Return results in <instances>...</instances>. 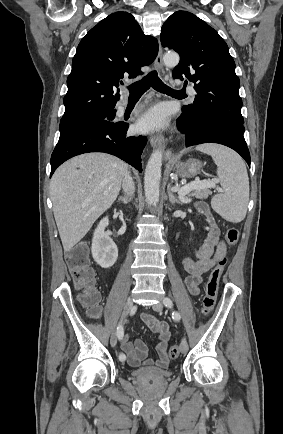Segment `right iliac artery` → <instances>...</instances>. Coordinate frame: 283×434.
<instances>
[{
  "label": "right iliac artery",
  "mask_w": 283,
  "mask_h": 434,
  "mask_svg": "<svg viewBox=\"0 0 283 434\" xmlns=\"http://www.w3.org/2000/svg\"><path fill=\"white\" fill-rule=\"evenodd\" d=\"M123 335H124L123 326H122V324H120L117 327V337H118V339H121L123 337ZM125 359H126L125 355H123V354L120 353L119 354V360L120 361H125Z\"/></svg>",
  "instance_id": "1"
}]
</instances>
